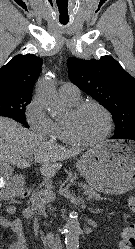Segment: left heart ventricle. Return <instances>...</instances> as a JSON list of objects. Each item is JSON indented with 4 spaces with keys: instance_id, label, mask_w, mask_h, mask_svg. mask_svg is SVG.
I'll return each mask as SVG.
<instances>
[{
    "instance_id": "1",
    "label": "left heart ventricle",
    "mask_w": 135,
    "mask_h": 249,
    "mask_svg": "<svg viewBox=\"0 0 135 249\" xmlns=\"http://www.w3.org/2000/svg\"><path fill=\"white\" fill-rule=\"evenodd\" d=\"M65 122L70 123L75 135L84 140L102 136L107 127L104 114L96 107H87L77 115L69 112Z\"/></svg>"
}]
</instances>
